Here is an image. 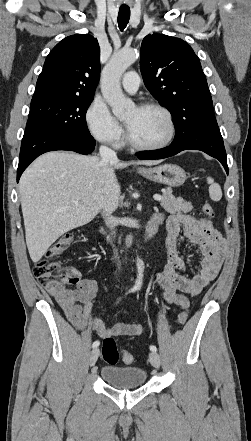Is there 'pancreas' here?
<instances>
[{
  "label": "pancreas",
  "instance_id": "pancreas-1",
  "mask_svg": "<svg viewBox=\"0 0 251 441\" xmlns=\"http://www.w3.org/2000/svg\"><path fill=\"white\" fill-rule=\"evenodd\" d=\"M161 202L162 208L171 214L188 213L193 209L190 202H186L183 198H175L172 189L167 188L163 193Z\"/></svg>",
  "mask_w": 251,
  "mask_h": 441
}]
</instances>
